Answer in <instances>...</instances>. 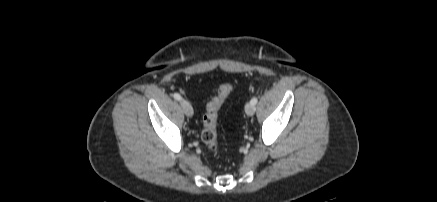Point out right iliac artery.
Returning <instances> with one entry per match:
<instances>
[{
  "label": "right iliac artery",
  "instance_id": "right-iliac-artery-1",
  "mask_svg": "<svg viewBox=\"0 0 437 202\" xmlns=\"http://www.w3.org/2000/svg\"><path fill=\"white\" fill-rule=\"evenodd\" d=\"M173 96H174V98H175L176 100H178V101L182 100L181 95L178 94V93H175Z\"/></svg>",
  "mask_w": 437,
  "mask_h": 202
}]
</instances>
